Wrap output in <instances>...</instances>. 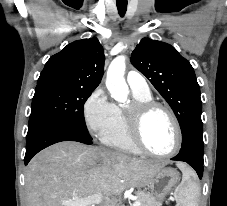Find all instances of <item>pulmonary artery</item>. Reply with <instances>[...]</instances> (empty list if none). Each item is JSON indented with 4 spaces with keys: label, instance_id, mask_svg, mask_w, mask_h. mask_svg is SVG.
<instances>
[{
    "label": "pulmonary artery",
    "instance_id": "e3ab8cb5",
    "mask_svg": "<svg viewBox=\"0 0 227 206\" xmlns=\"http://www.w3.org/2000/svg\"><path fill=\"white\" fill-rule=\"evenodd\" d=\"M126 81L133 92H149V86L145 78L137 71H129L126 75Z\"/></svg>",
    "mask_w": 227,
    "mask_h": 206
}]
</instances>
